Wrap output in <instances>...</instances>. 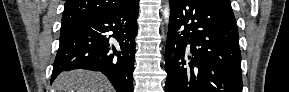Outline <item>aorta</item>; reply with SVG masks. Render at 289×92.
<instances>
[{
  "label": "aorta",
  "instance_id": "1",
  "mask_svg": "<svg viewBox=\"0 0 289 92\" xmlns=\"http://www.w3.org/2000/svg\"><path fill=\"white\" fill-rule=\"evenodd\" d=\"M163 15H164V18L166 19V21L168 22L169 20V16H170V9H169V6H166L164 11H163Z\"/></svg>",
  "mask_w": 289,
  "mask_h": 92
}]
</instances>
